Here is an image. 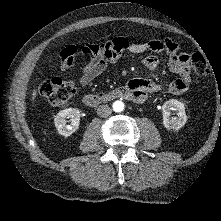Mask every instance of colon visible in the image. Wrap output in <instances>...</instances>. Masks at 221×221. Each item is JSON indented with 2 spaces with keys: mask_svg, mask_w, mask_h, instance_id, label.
Instances as JSON below:
<instances>
[{
  "mask_svg": "<svg viewBox=\"0 0 221 221\" xmlns=\"http://www.w3.org/2000/svg\"><path fill=\"white\" fill-rule=\"evenodd\" d=\"M78 49L75 46H69L61 52L62 63L65 67H73L76 64ZM187 62L194 72L204 77L208 74L206 60L199 52L187 55ZM76 87L72 80H63L53 77L45 80L39 86V93L52 106H64L75 94Z\"/></svg>",
  "mask_w": 221,
  "mask_h": 221,
  "instance_id": "5ec220e1",
  "label": "colon"
}]
</instances>
